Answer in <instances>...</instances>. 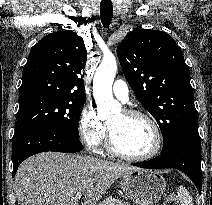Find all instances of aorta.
<instances>
[{
  "mask_svg": "<svg viewBox=\"0 0 212 205\" xmlns=\"http://www.w3.org/2000/svg\"><path fill=\"white\" fill-rule=\"evenodd\" d=\"M117 72L114 56H105L97 68L93 79V96L97 104L99 118L108 117L113 111H120L112 95V84Z\"/></svg>",
  "mask_w": 212,
  "mask_h": 205,
  "instance_id": "762f6f07",
  "label": "aorta"
}]
</instances>
